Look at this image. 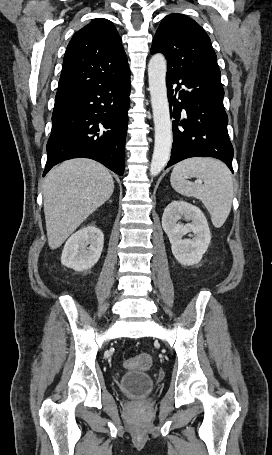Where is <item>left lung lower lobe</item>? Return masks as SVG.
Returning <instances> with one entry per match:
<instances>
[{
  "label": "left lung lower lobe",
  "mask_w": 272,
  "mask_h": 455,
  "mask_svg": "<svg viewBox=\"0 0 272 455\" xmlns=\"http://www.w3.org/2000/svg\"><path fill=\"white\" fill-rule=\"evenodd\" d=\"M166 83L170 113L175 119L167 167L186 158L205 156L223 161L233 172V147L227 131L220 77L182 71L167 73ZM174 84H177L175 89Z\"/></svg>",
  "instance_id": "left-lung-lower-lobe-1"
}]
</instances>
